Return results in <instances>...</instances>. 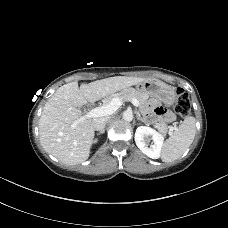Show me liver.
Instances as JSON below:
<instances>
[{"label":"liver","instance_id":"1","mask_svg":"<svg viewBox=\"0 0 228 228\" xmlns=\"http://www.w3.org/2000/svg\"><path fill=\"white\" fill-rule=\"evenodd\" d=\"M145 80L115 76L82 84L80 87L75 81L58 88L45 104L39 119V136L44 150L66 165H78L86 161L94 139V119H86L72 127L81 117L79 107Z\"/></svg>","mask_w":228,"mask_h":228}]
</instances>
